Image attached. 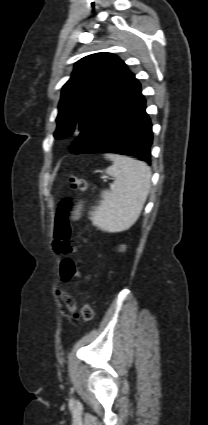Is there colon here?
<instances>
[{
    "mask_svg": "<svg viewBox=\"0 0 208 425\" xmlns=\"http://www.w3.org/2000/svg\"><path fill=\"white\" fill-rule=\"evenodd\" d=\"M71 189L80 194H84L87 190L86 181L76 175L70 176ZM83 206V200H74L72 198H64L59 203L54 221V250L61 254L72 253L77 247L71 244L70 238L72 233V222L77 221ZM60 276L63 281L78 280L83 285V277L79 270L77 261L66 258L60 265ZM57 295L63 300L68 310L76 320L88 322L93 318V309L87 302L83 303L79 312L75 310V300L67 292L57 289Z\"/></svg>",
    "mask_w": 208,
    "mask_h": 425,
    "instance_id": "obj_1",
    "label": "colon"
}]
</instances>
